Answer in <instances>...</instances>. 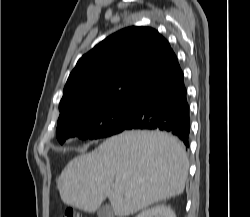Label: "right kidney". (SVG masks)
<instances>
[{
	"mask_svg": "<svg viewBox=\"0 0 250 217\" xmlns=\"http://www.w3.org/2000/svg\"><path fill=\"white\" fill-rule=\"evenodd\" d=\"M136 217H176V215L169 206L160 204L142 211Z\"/></svg>",
	"mask_w": 250,
	"mask_h": 217,
	"instance_id": "right-kidney-1",
	"label": "right kidney"
}]
</instances>
